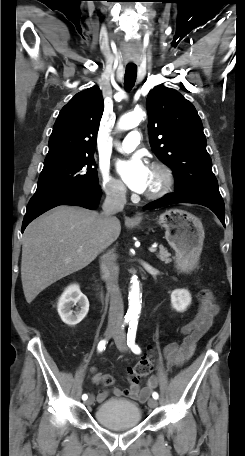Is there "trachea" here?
I'll return each mask as SVG.
<instances>
[{"label": "trachea", "mask_w": 245, "mask_h": 456, "mask_svg": "<svg viewBox=\"0 0 245 456\" xmlns=\"http://www.w3.org/2000/svg\"><path fill=\"white\" fill-rule=\"evenodd\" d=\"M137 76V67L136 66H127L124 77V86L126 90L132 89L135 84Z\"/></svg>", "instance_id": "obj_1"}]
</instances>
